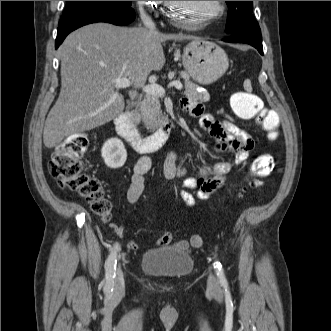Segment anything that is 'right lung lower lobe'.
Listing matches in <instances>:
<instances>
[{"mask_svg":"<svg viewBox=\"0 0 331 331\" xmlns=\"http://www.w3.org/2000/svg\"><path fill=\"white\" fill-rule=\"evenodd\" d=\"M135 19V12L131 7L117 8L85 15L69 23L60 25L56 38L55 48L63 42L65 37L73 30L95 22H107L118 26H125Z\"/></svg>","mask_w":331,"mask_h":331,"instance_id":"right-lung-lower-lobe-1","label":"right lung lower lobe"}]
</instances>
